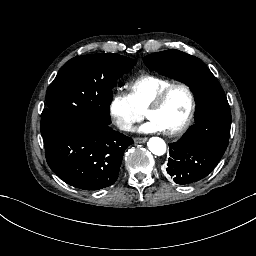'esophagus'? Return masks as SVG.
<instances>
[{
	"mask_svg": "<svg viewBox=\"0 0 256 256\" xmlns=\"http://www.w3.org/2000/svg\"><path fill=\"white\" fill-rule=\"evenodd\" d=\"M146 141H147V138L137 137V138L134 139L135 143H145Z\"/></svg>",
	"mask_w": 256,
	"mask_h": 256,
	"instance_id": "obj_1",
	"label": "esophagus"
}]
</instances>
